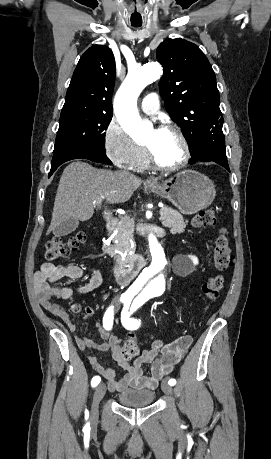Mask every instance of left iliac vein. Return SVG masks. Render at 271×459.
<instances>
[{
	"label": "left iliac vein",
	"mask_w": 271,
	"mask_h": 459,
	"mask_svg": "<svg viewBox=\"0 0 271 459\" xmlns=\"http://www.w3.org/2000/svg\"><path fill=\"white\" fill-rule=\"evenodd\" d=\"M161 388H162V390H163L164 393H166V394H172V387H171V385H169V384L167 383V380H166V379H163Z\"/></svg>",
	"instance_id": "obj_1"
}]
</instances>
